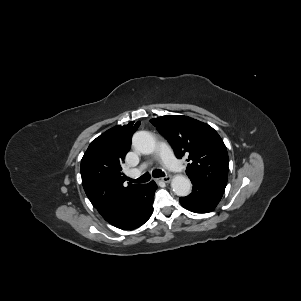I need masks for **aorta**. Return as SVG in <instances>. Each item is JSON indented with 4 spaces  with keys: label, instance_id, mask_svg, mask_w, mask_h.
I'll return each mask as SVG.
<instances>
[{
    "label": "aorta",
    "instance_id": "obj_1",
    "mask_svg": "<svg viewBox=\"0 0 301 301\" xmlns=\"http://www.w3.org/2000/svg\"><path fill=\"white\" fill-rule=\"evenodd\" d=\"M132 145L142 154H151L156 149V141L153 135L147 131H138L132 137ZM173 192L178 196H188L191 192V183L183 175H176L171 181Z\"/></svg>",
    "mask_w": 301,
    "mask_h": 301
}]
</instances>
